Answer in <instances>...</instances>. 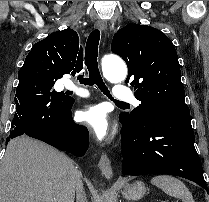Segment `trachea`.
<instances>
[{"instance_id":"1","label":"trachea","mask_w":209,"mask_h":202,"mask_svg":"<svg viewBox=\"0 0 209 202\" xmlns=\"http://www.w3.org/2000/svg\"><path fill=\"white\" fill-rule=\"evenodd\" d=\"M99 41H100V31L98 29L93 30L86 43V48H85V64L87 66L88 72H89V77L84 78L82 76H78V80L80 84L88 85V86H93L97 85V87L100 89V91L105 94L109 99L114 101L116 104H126L121 101L114 100L112 95L110 94L107 86L105 85L99 69H98V62H97V57H98V46H99Z\"/></svg>"}]
</instances>
